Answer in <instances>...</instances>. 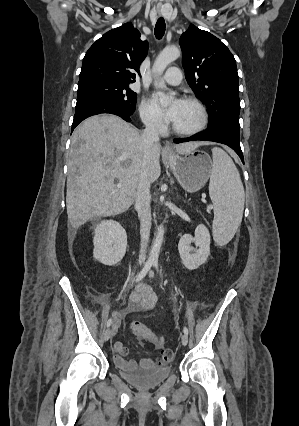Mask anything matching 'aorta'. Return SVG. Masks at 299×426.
Masks as SVG:
<instances>
[{"instance_id": "aorta-1", "label": "aorta", "mask_w": 299, "mask_h": 426, "mask_svg": "<svg viewBox=\"0 0 299 426\" xmlns=\"http://www.w3.org/2000/svg\"><path fill=\"white\" fill-rule=\"evenodd\" d=\"M180 56V50L177 47H169L164 49L156 58L154 65H153V73L159 77L163 74L166 67L173 61H175ZM156 88H163L165 87L164 83L162 81H156L155 82ZM172 96L170 97H162L160 98V104L162 106H167L169 102L171 101ZM164 227L160 225L157 230V234L155 236L149 259L152 262H158L160 249L163 243L164 239Z\"/></svg>"}]
</instances>
